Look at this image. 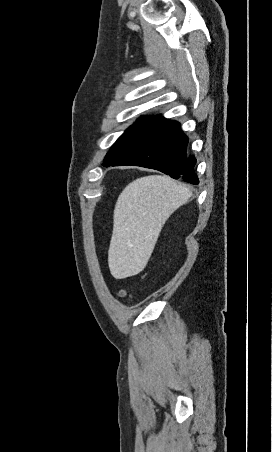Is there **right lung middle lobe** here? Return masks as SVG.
<instances>
[{"label":"right lung middle lobe","mask_w":272,"mask_h":452,"mask_svg":"<svg viewBox=\"0 0 272 452\" xmlns=\"http://www.w3.org/2000/svg\"><path fill=\"white\" fill-rule=\"evenodd\" d=\"M158 118L159 116L146 115L130 126L111 147L104 159L103 166L108 167L115 163L148 131Z\"/></svg>","instance_id":"dd1d6c3e"}]
</instances>
